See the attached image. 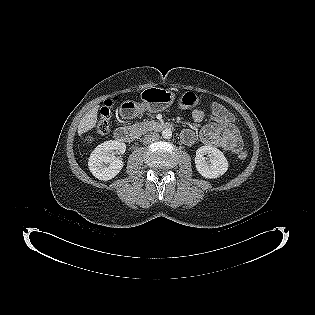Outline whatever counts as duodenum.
Segmentation results:
<instances>
[{"label": "duodenum", "instance_id": "obj_1", "mask_svg": "<svg viewBox=\"0 0 315 315\" xmlns=\"http://www.w3.org/2000/svg\"><path fill=\"white\" fill-rule=\"evenodd\" d=\"M147 128L156 131L173 129V125L168 122L155 121L147 125ZM137 132L135 129L122 126L115 130L114 137L119 142H132L137 138Z\"/></svg>", "mask_w": 315, "mask_h": 315}]
</instances>
